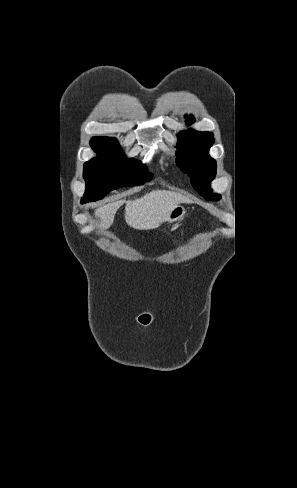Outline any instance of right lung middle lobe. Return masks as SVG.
<instances>
[{
    "instance_id": "right-lung-middle-lobe-1",
    "label": "right lung middle lobe",
    "mask_w": 297,
    "mask_h": 488,
    "mask_svg": "<svg viewBox=\"0 0 297 488\" xmlns=\"http://www.w3.org/2000/svg\"><path fill=\"white\" fill-rule=\"evenodd\" d=\"M98 157L84 164L86 191L82 203L102 199L109 191L125 186L141 185L153 177L141 161L126 160L115 139H105L95 151Z\"/></svg>"
}]
</instances>
